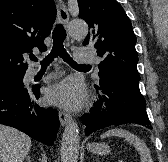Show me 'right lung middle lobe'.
Instances as JSON below:
<instances>
[{
	"instance_id": "obj_1",
	"label": "right lung middle lobe",
	"mask_w": 168,
	"mask_h": 162,
	"mask_svg": "<svg viewBox=\"0 0 168 162\" xmlns=\"http://www.w3.org/2000/svg\"><path fill=\"white\" fill-rule=\"evenodd\" d=\"M24 75L25 73L0 76V86L10 82L21 81L23 80Z\"/></svg>"
}]
</instances>
